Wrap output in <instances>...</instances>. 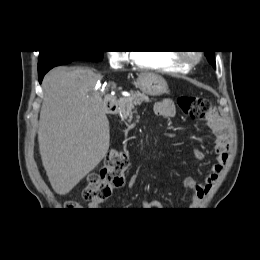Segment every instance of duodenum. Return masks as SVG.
<instances>
[{"label": "duodenum", "mask_w": 260, "mask_h": 260, "mask_svg": "<svg viewBox=\"0 0 260 260\" xmlns=\"http://www.w3.org/2000/svg\"><path fill=\"white\" fill-rule=\"evenodd\" d=\"M105 110L108 114H116L117 113V105L111 101V100H107L105 102Z\"/></svg>", "instance_id": "duodenum-1"}]
</instances>
